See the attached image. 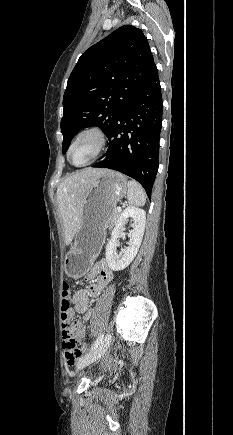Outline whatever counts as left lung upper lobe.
<instances>
[{"label": "left lung upper lobe", "instance_id": "left-lung-upper-lobe-1", "mask_svg": "<svg viewBox=\"0 0 233 435\" xmlns=\"http://www.w3.org/2000/svg\"><path fill=\"white\" fill-rule=\"evenodd\" d=\"M156 65L142 30L124 25L91 46L69 76L63 98L62 152L90 126L107 135L117 116L138 95Z\"/></svg>", "mask_w": 233, "mask_h": 435}]
</instances>
